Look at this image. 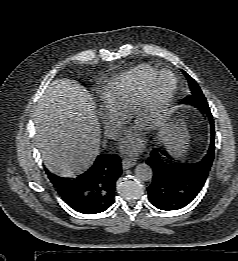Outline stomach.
Segmentation results:
<instances>
[{
    "label": "stomach",
    "instance_id": "0dacf381",
    "mask_svg": "<svg viewBox=\"0 0 238 261\" xmlns=\"http://www.w3.org/2000/svg\"><path fill=\"white\" fill-rule=\"evenodd\" d=\"M185 139V129L179 119L174 117L166 130V144L168 150L174 155L181 154L184 148Z\"/></svg>",
    "mask_w": 238,
    "mask_h": 261
}]
</instances>
